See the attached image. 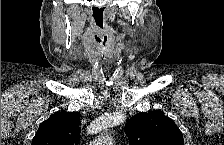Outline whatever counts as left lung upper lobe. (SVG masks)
<instances>
[{
    "mask_svg": "<svg viewBox=\"0 0 224 145\" xmlns=\"http://www.w3.org/2000/svg\"><path fill=\"white\" fill-rule=\"evenodd\" d=\"M124 131L130 145H184L182 132L159 110L133 116Z\"/></svg>",
    "mask_w": 224,
    "mask_h": 145,
    "instance_id": "1",
    "label": "left lung upper lobe"
}]
</instances>
